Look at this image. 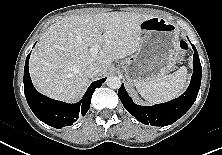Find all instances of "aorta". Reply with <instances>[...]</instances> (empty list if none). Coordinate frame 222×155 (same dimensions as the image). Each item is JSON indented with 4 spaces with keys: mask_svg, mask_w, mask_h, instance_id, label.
Here are the masks:
<instances>
[{
    "mask_svg": "<svg viewBox=\"0 0 222 155\" xmlns=\"http://www.w3.org/2000/svg\"><path fill=\"white\" fill-rule=\"evenodd\" d=\"M106 84L109 88L119 89L121 86V79L117 76H109L106 80Z\"/></svg>",
    "mask_w": 222,
    "mask_h": 155,
    "instance_id": "obj_1",
    "label": "aorta"
}]
</instances>
